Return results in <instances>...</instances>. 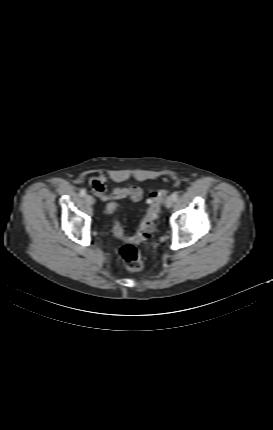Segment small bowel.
Returning <instances> with one entry per match:
<instances>
[{
  "label": "small bowel",
  "instance_id": "obj_1",
  "mask_svg": "<svg viewBox=\"0 0 273 430\" xmlns=\"http://www.w3.org/2000/svg\"><path fill=\"white\" fill-rule=\"evenodd\" d=\"M90 184L98 198H100L102 201H111L110 203H116V201L125 198H129L133 202H139L145 194L144 189L136 185H131L124 188H114L113 190L109 191L107 187V177L103 173L99 174L98 176L91 177Z\"/></svg>",
  "mask_w": 273,
  "mask_h": 430
}]
</instances>
